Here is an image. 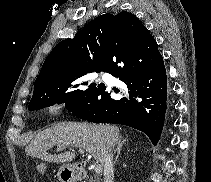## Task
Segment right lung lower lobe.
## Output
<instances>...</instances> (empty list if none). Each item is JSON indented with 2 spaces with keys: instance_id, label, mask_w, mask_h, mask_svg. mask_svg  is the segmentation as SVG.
<instances>
[{
  "instance_id": "1",
  "label": "right lung lower lobe",
  "mask_w": 211,
  "mask_h": 182,
  "mask_svg": "<svg viewBox=\"0 0 211 182\" xmlns=\"http://www.w3.org/2000/svg\"><path fill=\"white\" fill-rule=\"evenodd\" d=\"M102 71L126 84L125 96L112 99L101 83L72 114L91 122L133 127L147 134L156 145L164 124L167 99L166 70L157 42L149 34L118 48Z\"/></svg>"
}]
</instances>
